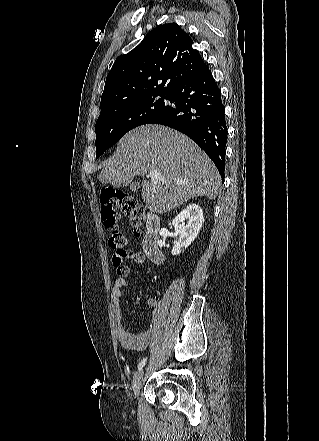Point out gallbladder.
I'll use <instances>...</instances> for the list:
<instances>
[{
  "label": "gallbladder",
  "instance_id": "obj_1",
  "mask_svg": "<svg viewBox=\"0 0 319 441\" xmlns=\"http://www.w3.org/2000/svg\"><path fill=\"white\" fill-rule=\"evenodd\" d=\"M140 188H141V187H140V184H139L138 182H133V183L130 184V189H131L133 192L138 191Z\"/></svg>",
  "mask_w": 319,
  "mask_h": 441
}]
</instances>
